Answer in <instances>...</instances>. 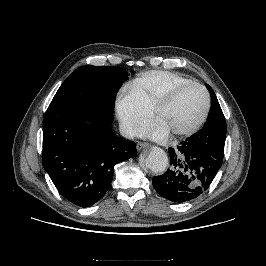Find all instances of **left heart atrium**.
<instances>
[{
	"label": "left heart atrium",
	"mask_w": 266,
	"mask_h": 266,
	"mask_svg": "<svg viewBox=\"0 0 266 266\" xmlns=\"http://www.w3.org/2000/svg\"><path fill=\"white\" fill-rule=\"evenodd\" d=\"M141 134L153 139L162 140L169 135V131L162 123L156 120L152 125L143 129Z\"/></svg>",
	"instance_id": "1"
}]
</instances>
